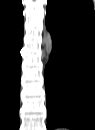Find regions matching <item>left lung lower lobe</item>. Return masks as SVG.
<instances>
[{"label":"left lung lower lobe","mask_w":95,"mask_h":130,"mask_svg":"<svg viewBox=\"0 0 95 130\" xmlns=\"http://www.w3.org/2000/svg\"><path fill=\"white\" fill-rule=\"evenodd\" d=\"M53 52L45 68L48 129L95 130V22L46 13Z\"/></svg>","instance_id":"left-lung-lower-lobe-1"}]
</instances>
